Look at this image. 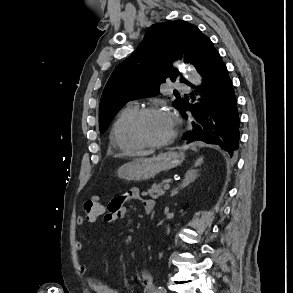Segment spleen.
Returning a JSON list of instances; mask_svg holds the SVG:
<instances>
[{
  "label": "spleen",
  "instance_id": "3e777b00",
  "mask_svg": "<svg viewBox=\"0 0 293 293\" xmlns=\"http://www.w3.org/2000/svg\"><path fill=\"white\" fill-rule=\"evenodd\" d=\"M193 150H196V148L193 147ZM202 162H203V158L201 157V158L197 159V161L195 162V166L201 165Z\"/></svg>",
  "mask_w": 293,
  "mask_h": 293
}]
</instances>
